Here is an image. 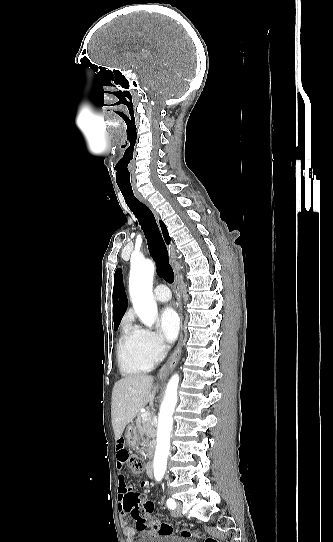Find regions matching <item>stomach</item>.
<instances>
[{
	"label": "stomach",
	"mask_w": 333,
	"mask_h": 542,
	"mask_svg": "<svg viewBox=\"0 0 333 542\" xmlns=\"http://www.w3.org/2000/svg\"><path fill=\"white\" fill-rule=\"evenodd\" d=\"M126 442L130 448H136L139 444V434L136 426L134 424H129L127 426L126 434H125Z\"/></svg>",
	"instance_id": "stomach-1"
}]
</instances>
